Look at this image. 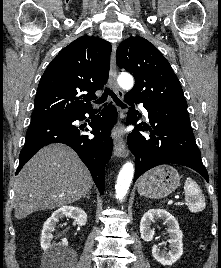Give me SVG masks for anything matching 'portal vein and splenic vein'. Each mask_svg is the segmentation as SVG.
I'll use <instances>...</instances> for the list:
<instances>
[{"instance_id":"obj_1","label":"portal vein and splenic vein","mask_w":221,"mask_h":268,"mask_svg":"<svg viewBox=\"0 0 221 268\" xmlns=\"http://www.w3.org/2000/svg\"><path fill=\"white\" fill-rule=\"evenodd\" d=\"M172 203H173V201H172V200H170V201L168 202V204H170V205H171Z\"/></svg>"}]
</instances>
